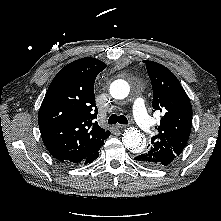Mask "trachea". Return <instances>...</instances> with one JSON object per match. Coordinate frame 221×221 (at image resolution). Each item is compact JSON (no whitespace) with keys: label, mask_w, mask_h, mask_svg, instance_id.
I'll return each instance as SVG.
<instances>
[{"label":"trachea","mask_w":221,"mask_h":221,"mask_svg":"<svg viewBox=\"0 0 221 221\" xmlns=\"http://www.w3.org/2000/svg\"><path fill=\"white\" fill-rule=\"evenodd\" d=\"M128 124V119L124 115L112 114L108 119V124Z\"/></svg>","instance_id":"trachea-1"}]
</instances>
